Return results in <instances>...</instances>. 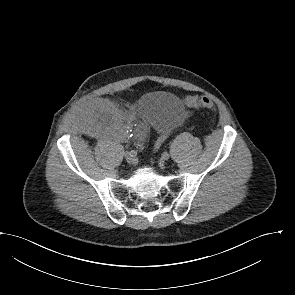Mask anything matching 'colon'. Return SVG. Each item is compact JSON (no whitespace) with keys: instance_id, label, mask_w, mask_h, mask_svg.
<instances>
[{"instance_id":"5ec220e1","label":"colon","mask_w":295,"mask_h":295,"mask_svg":"<svg viewBox=\"0 0 295 295\" xmlns=\"http://www.w3.org/2000/svg\"><path fill=\"white\" fill-rule=\"evenodd\" d=\"M188 105L191 107H203L208 109L215 108L213 101L207 96L191 97L188 102Z\"/></svg>"}]
</instances>
